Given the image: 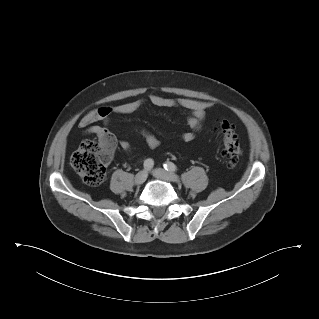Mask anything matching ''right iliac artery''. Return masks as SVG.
I'll list each match as a JSON object with an SVG mask.
<instances>
[{
    "label": "right iliac artery",
    "mask_w": 319,
    "mask_h": 319,
    "mask_svg": "<svg viewBox=\"0 0 319 319\" xmlns=\"http://www.w3.org/2000/svg\"><path fill=\"white\" fill-rule=\"evenodd\" d=\"M154 165V161L152 159H147L144 161V168L148 171L150 170Z\"/></svg>",
    "instance_id": "right-iliac-artery-1"
}]
</instances>
